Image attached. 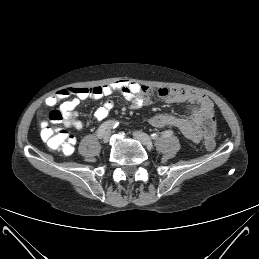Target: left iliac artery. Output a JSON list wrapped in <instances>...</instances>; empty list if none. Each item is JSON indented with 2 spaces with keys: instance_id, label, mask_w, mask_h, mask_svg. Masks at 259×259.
<instances>
[{
  "instance_id": "obj_1",
  "label": "left iliac artery",
  "mask_w": 259,
  "mask_h": 259,
  "mask_svg": "<svg viewBox=\"0 0 259 259\" xmlns=\"http://www.w3.org/2000/svg\"><path fill=\"white\" fill-rule=\"evenodd\" d=\"M173 135V131L172 130H166L162 132V136L163 137H170Z\"/></svg>"
}]
</instances>
